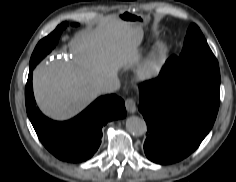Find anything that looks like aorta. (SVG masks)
Segmentation results:
<instances>
[{"label":"aorta","mask_w":236,"mask_h":182,"mask_svg":"<svg viewBox=\"0 0 236 182\" xmlns=\"http://www.w3.org/2000/svg\"><path fill=\"white\" fill-rule=\"evenodd\" d=\"M126 128L133 136H142L147 131V126L144 120L137 116H130L126 120Z\"/></svg>","instance_id":"aorta-1"}]
</instances>
